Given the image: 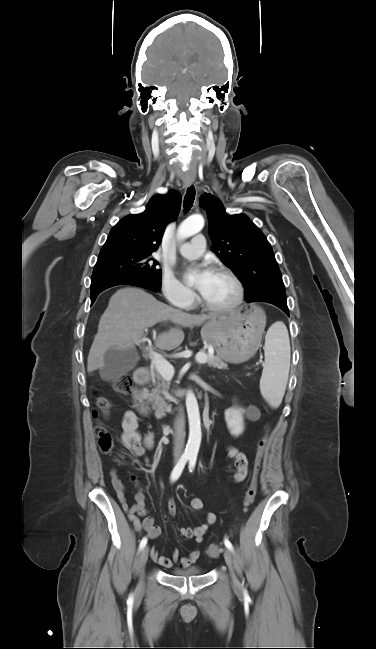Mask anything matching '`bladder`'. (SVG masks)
<instances>
[{"instance_id": "1", "label": "bladder", "mask_w": 376, "mask_h": 649, "mask_svg": "<svg viewBox=\"0 0 376 649\" xmlns=\"http://www.w3.org/2000/svg\"><path fill=\"white\" fill-rule=\"evenodd\" d=\"M174 575L189 577V576H198L202 574V569L199 566H191L187 568H179L173 571Z\"/></svg>"}]
</instances>
